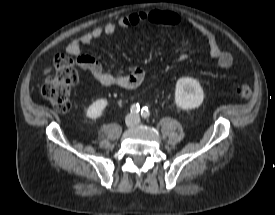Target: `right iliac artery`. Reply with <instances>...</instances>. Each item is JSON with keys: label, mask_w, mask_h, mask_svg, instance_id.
I'll return each mask as SVG.
<instances>
[{"label": "right iliac artery", "mask_w": 275, "mask_h": 215, "mask_svg": "<svg viewBox=\"0 0 275 215\" xmlns=\"http://www.w3.org/2000/svg\"><path fill=\"white\" fill-rule=\"evenodd\" d=\"M130 111L131 113H138L140 111V105L137 103V104H133L130 108Z\"/></svg>", "instance_id": "1"}]
</instances>
